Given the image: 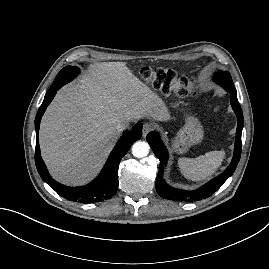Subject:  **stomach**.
I'll return each mask as SVG.
<instances>
[{
    "mask_svg": "<svg viewBox=\"0 0 269 269\" xmlns=\"http://www.w3.org/2000/svg\"><path fill=\"white\" fill-rule=\"evenodd\" d=\"M204 137V131L200 122L194 117H188L186 124L172 140V150L179 154H184L188 149L200 143Z\"/></svg>",
    "mask_w": 269,
    "mask_h": 269,
    "instance_id": "stomach-1",
    "label": "stomach"
}]
</instances>
